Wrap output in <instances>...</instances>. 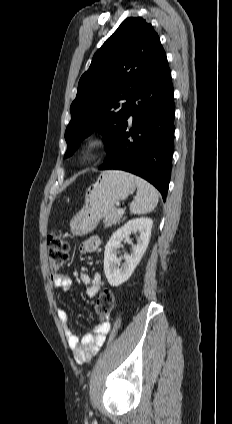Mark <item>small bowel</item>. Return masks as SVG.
I'll list each match as a JSON object with an SVG mask.
<instances>
[{"instance_id": "1", "label": "small bowel", "mask_w": 232, "mask_h": 424, "mask_svg": "<svg viewBox=\"0 0 232 424\" xmlns=\"http://www.w3.org/2000/svg\"><path fill=\"white\" fill-rule=\"evenodd\" d=\"M99 245L100 239L98 237H90L81 244L80 251L85 254L93 253L98 249ZM79 278L87 287V296L94 298L101 288L99 275L81 272ZM51 282L56 289L62 292H66L72 287L70 277L62 273H53L51 275ZM57 316L64 326L65 337L75 360L80 364L90 362L105 342V337L110 330V315L106 316L107 321L105 323L95 328L92 333L84 335L82 339H80L75 330L69 326L70 313L66 309L58 308Z\"/></svg>"}]
</instances>
